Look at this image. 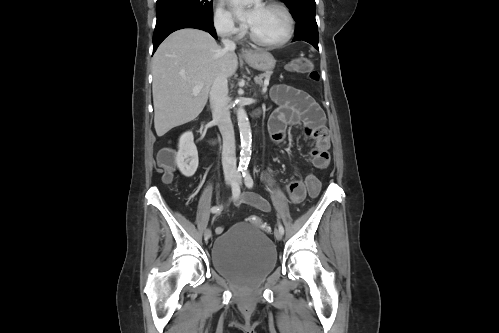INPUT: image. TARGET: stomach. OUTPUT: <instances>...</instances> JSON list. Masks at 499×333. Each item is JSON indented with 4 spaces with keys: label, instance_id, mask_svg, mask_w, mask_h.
Masks as SVG:
<instances>
[{
    "label": "stomach",
    "instance_id": "stomach-1",
    "mask_svg": "<svg viewBox=\"0 0 499 333\" xmlns=\"http://www.w3.org/2000/svg\"><path fill=\"white\" fill-rule=\"evenodd\" d=\"M244 60L248 65L259 71H271L274 69L276 60L273 55L265 50L251 51Z\"/></svg>",
    "mask_w": 499,
    "mask_h": 333
}]
</instances>
